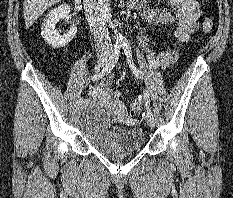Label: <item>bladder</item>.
Masks as SVG:
<instances>
[{
	"mask_svg": "<svg viewBox=\"0 0 233 198\" xmlns=\"http://www.w3.org/2000/svg\"><path fill=\"white\" fill-rule=\"evenodd\" d=\"M79 128L94 149L111 158L136 154L146 142L141 127L112 128L108 112L100 103L85 105L79 115Z\"/></svg>",
	"mask_w": 233,
	"mask_h": 198,
	"instance_id": "bladder-1",
	"label": "bladder"
}]
</instances>
